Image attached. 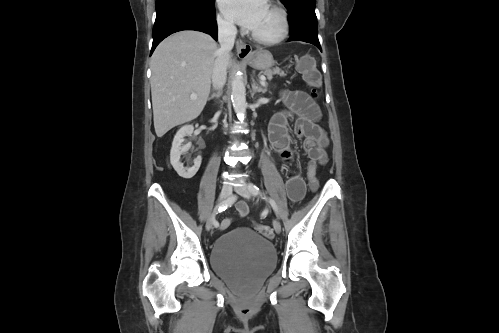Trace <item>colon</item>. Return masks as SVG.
Segmentation results:
<instances>
[{
  "label": "colon",
  "instance_id": "colon-1",
  "mask_svg": "<svg viewBox=\"0 0 499 333\" xmlns=\"http://www.w3.org/2000/svg\"><path fill=\"white\" fill-rule=\"evenodd\" d=\"M298 70L303 75L306 83L311 87V97L313 99H317L319 97V89L322 85V77L320 72L315 67L313 59L311 57L301 58L298 63ZM317 173L318 163L309 161L306 169V175L309 185L313 190L317 189L318 187ZM256 229L263 236L267 238L272 237V231L268 226L263 224H256Z\"/></svg>",
  "mask_w": 499,
  "mask_h": 333
}]
</instances>
